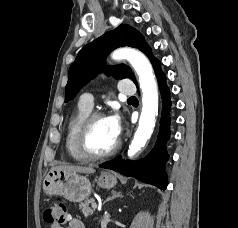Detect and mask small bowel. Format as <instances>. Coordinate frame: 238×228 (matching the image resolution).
<instances>
[{"label": "small bowel", "instance_id": "1", "mask_svg": "<svg viewBox=\"0 0 238 228\" xmlns=\"http://www.w3.org/2000/svg\"><path fill=\"white\" fill-rule=\"evenodd\" d=\"M50 228H63L61 225L53 224ZM67 228H85L84 223L81 219L77 217H68V227Z\"/></svg>", "mask_w": 238, "mask_h": 228}]
</instances>
